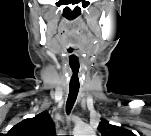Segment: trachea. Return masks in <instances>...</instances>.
I'll list each match as a JSON object with an SVG mask.
<instances>
[{
	"label": "trachea",
	"instance_id": "obj_1",
	"mask_svg": "<svg viewBox=\"0 0 151 136\" xmlns=\"http://www.w3.org/2000/svg\"><path fill=\"white\" fill-rule=\"evenodd\" d=\"M77 74H78V70L73 71V76H77ZM73 76L71 77L70 84H69V95H68V99H67V103H66L67 113H70V111L76 101V98H77V95L79 92V88H80L79 81H73Z\"/></svg>",
	"mask_w": 151,
	"mask_h": 136
}]
</instances>
